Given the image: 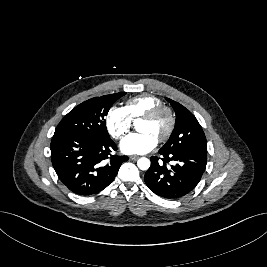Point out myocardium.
Wrapping results in <instances>:
<instances>
[{
  "mask_svg": "<svg viewBox=\"0 0 267 267\" xmlns=\"http://www.w3.org/2000/svg\"><path fill=\"white\" fill-rule=\"evenodd\" d=\"M161 115H165L167 117V127L163 134L159 137L158 141L159 142H165L168 140V138L172 135L175 124H176V118L173 110L166 106V105H159L151 110H149L147 113H145L142 117L141 120L145 121H153L159 118Z\"/></svg>",
  "mask_w": 267,
  "mask_h": 267,
  "instance_id": "obj_1",
  "label": "myocardium"
}]
</instances>
